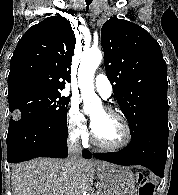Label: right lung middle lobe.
Returning <instances> with one entry per match:
<instances>
[{
	"instance_id": "dd1d6c3e",
	"label": "right lung middle lobe",
	"mask_w": 178,
	"mask_h": 195,
	"mask_svg": "<svg viewBox=\"0 0 178 195\" xmlns=\"http://www.w3.org/2000/svg\"><path fill=\"white\" fill-rule=\"evenodd\" d=\"M69 101L70 97L53 90H26L8 96L9 110L13 112L9 124L19 121L66 120V105Z\"/></svg>"
}]
</instances>
